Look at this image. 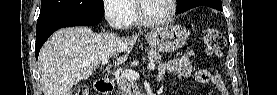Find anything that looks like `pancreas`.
<instances>
[{
  "label": "pancreas",
  "instance_id": "obj_1",
  "mask_svg": "<svg viewBox=\"0 0 277 95\" xmlns=\"http://www.w3.org/2000/svg\"><path fill=\"white\" fill-rule=\"evenodd\" d=\"M162 59V56L160 55L159 51L156 50H149L148 52V60L153 63H160ZM117 87L118 92L121 95H138L139 89L137 84L134 80H129L127 78H124L120 76L117 78Z\"/></svg>",
  "mask_w": 277,
  "mask_h": 95
}]
</instances>
